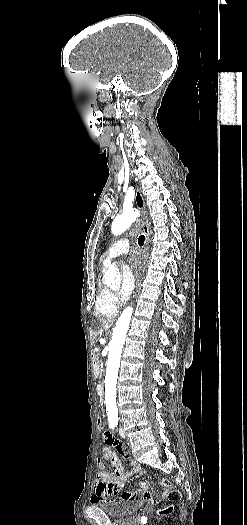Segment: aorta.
<instances>
[{"label":"aorta","mask_w":247,"mask_h":525,"mask_svg":"<svg viewBox=\"0 0 247 525\" xmlns=\"http://www.w3.org/2000/svg\"><path fill=\"white\" fill-rule=\"evenodd\" d=\"M140 215L136 209L123 211L117 216L112 225L111 231L114 235H120L125 232L131 224ZM103 281L105 285L111 288H117L120 285V273L114 264H110L104 272ZM133 308L128 306L124 309L116 327L113 330L112 339L108 345L109 355L105 376V403L106 413L109 422H117L118 408L116 405V385L118 378V370L120 365V358L122 354L123 345L125 343L126 334L129 329Z\"/></svg>","instance_id":"obj_1"}]
</instances>
